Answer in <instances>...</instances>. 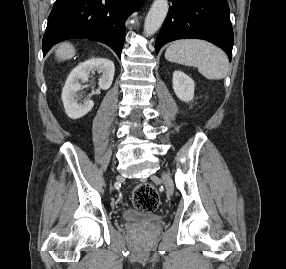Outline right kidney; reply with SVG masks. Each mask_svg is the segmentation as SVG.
I'll list each match as a JSON object with an SVG mask.
<instances>
[{
    "label": "right kidney",
    "mask_w": 286,
    "mask_h": 269,
    "mask_svg": "<svg viewBox=\"0 0 286 269\" xmlns=\"http://www.w3.org/2000/svg\"><path fill=\"white\" fill-rule=\"evenodd\" d=\"M97 70L101 73L99 87L108 90L112 84L115 66L109 59L95 58L85 61L74 68L69 74L62 91V101L68 117L78 119L86 115L94 106V102L86 99L79 103L77 92L80 91V82H86L91 71Z\"/></svg>",
    "instance_id": "right-kidney-1"
}]
</instances>
